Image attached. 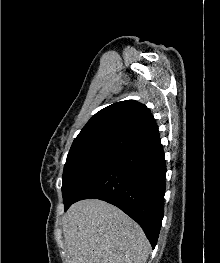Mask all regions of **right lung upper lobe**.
Masks as SVG:
<instances>
[{"label": "right lung upper lobe", "instance_id": "right-lung-upper-lobe-1", "mask_svg": "<svg viewBox=\"0 0 220 263\" xmlns=\"http://www.w3.org/2000/svg\"><path fill=\"white\" fill-rule=\"evenodd\" d=\"M158 134L150 110L135 100H126L97 112L75 138L70 151L96 148L121 151Z\"/></svg>", "mask_w": 220, "mask_h": 263}]
</instances>
